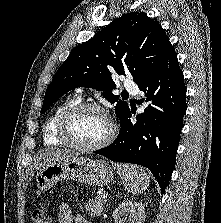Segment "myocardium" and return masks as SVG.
<instances>
[{
  "mask_svg": "<svg viewBox=\"0 0 221 223\" xmlns=\"http://www.w3.org/2000/svg\"><path fill=\"white\" fill-rule=\"evenodd\" d=\"M85 110H95L102 113L108 120L109 123V132L105 138L93 145H85L75 142L69 135V125L73 117L81 111ZM116 125L107 112L105 108L102 106L91 103V102H79L69 106L61 115L58 125H57V137L67 146L71 147L74 150L82 151V152H93L100 150L109 144L112 143L116 136Z\"/></svg>",
  "mask_w": 221,
  "mask_h": 223,
  "instance_id": "obj_1",
  "label": "myocardium"
}]
</instances>
